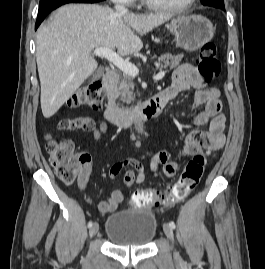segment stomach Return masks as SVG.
Wrapping results in <instances>:
<instances>
[{"mask_svg": "<svg viewBox=\"0 0 265 269\" xmlns=\"http://www.w3.org/2000/svg\"><path fill=\"white\" fill-rule=\"evenodd\" d=\"M166 27L174 35L177 46L190 52L201 49L215 32L211 21L201 15L175 17Z\"/></svg>", "mask_w": 265, "mask_h": 269, "instance_id": "0dacf381", "label": "stomach"}]
</instances>
